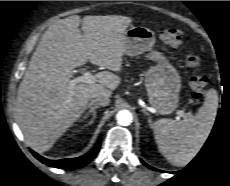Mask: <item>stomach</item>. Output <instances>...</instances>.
<instances>
[{
  "label": "stomach",
  "instance_id": "1",
  "mask_svg": "<svg viewBox=\"0 0 230 186\" xmlns=\"http://www.w3.org/2000/svg\"><path fill=\"white\" fill-rule=\"evenodd\" d=\"M155 44L154 32L143 26H131L125 32L124 54L141 55L150 51L147 58L156 62L145 73L144 82L149 103L159 114H171L178 106L181 76L166 56L152 51Z\"/></svg>",
  "mask_w": 230,
  "mask_h": 186
}]
</instances>
